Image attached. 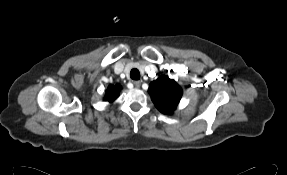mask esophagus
<instances>
[{
    "mask_svg": "<svg viewBox=\"0 0 287 175\" xmlns=\"http://www.w3.org/2000/svg\"><path fill=\"white\" fill-rule=\"evenodd\" d=\"M142 81L141 80H137V81H133V84L136 88H139L141 85Z\"/></svg>",
    "mask_w": 287,
    "mask_h": 175,
    "instance_id": "obj_1",
    "label": "esophagus"
}]
</instances>
